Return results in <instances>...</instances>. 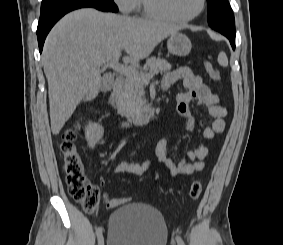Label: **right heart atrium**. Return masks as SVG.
I'll list each match as a JSON object with an SVG mask.
<instances>
[{
	"label": "right heart atrium",
	"instance_id": "1",
	"mask_svg": "<svg viewBox=\"0 0 283 245\" xmlns=\"http://www.w3.org/2000/svg\"><path fill=\"white\" fill-rule=\"evenodd\" d=\"M136 0H113L118 9L123 13H130L134 10Z\"/></svg>",
	"mask_w": 283,
	"mask_h": 245
}]
</instances>
